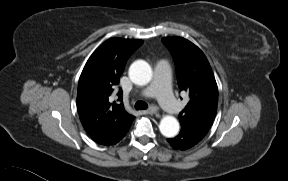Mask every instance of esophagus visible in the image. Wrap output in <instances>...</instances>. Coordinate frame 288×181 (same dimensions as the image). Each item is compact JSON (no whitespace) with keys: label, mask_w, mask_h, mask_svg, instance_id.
Instances as JSON below:
<instances>
[{"label":"esophagus","mask_w":288,"mask_h":181,"mask_svg":"<svg viewBox=\"0 0 288 181\" xmlns=\"http://www.w3.org/2000/svg\"><path fill=\"white\" fill-rule=\"evenodd\" d=\"M158 112V107L156 105H151L148 109H147V113L148 114H156Z\"/></svg>","instance_id":"obj_1"}]
</instances>
